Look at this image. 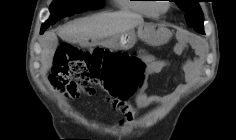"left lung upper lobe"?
I'll return each mask as SVG.
<instances>
[{"label": "left lung upper lobe", "mask_w": 236, "mask_h": 140, "mask_svg": "<svg viewBox=\"0 0 236 140\" xmlns=\"http://www.w3.org/2000/svg\"><path fill=\"white\" fill-rule=\"evenodd\" d=\"M180 9L186 12V22L200 34H204V17L198 0H174Z\"/></svg>", "instance_id": "1"}]
</instances>
